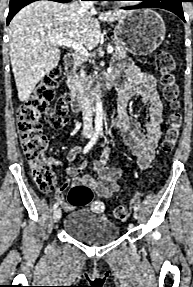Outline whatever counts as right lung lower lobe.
Masks as SVG:
<instances>
[{"label":"right lung lower lobe","mask_w":193,"mask_h":287,"mask_svg":"<svg viewBox=\"0 0 193 287\" xmlns=\"http://www.w3.org/2000/svg\"><path fill=\"white\" fill-rule=\"evenodd\" d=\"M37 1V0H10V4H9V14L7 17V24H9V22L11 21V19L14 17V15L20 10L22 9L24 6ZM56 2H61V3H68L71 0H53Z\"/></svg>","instance_id":"1"}]
</instances>
